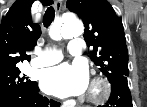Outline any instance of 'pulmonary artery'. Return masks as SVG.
Masks as SVG:
<instances>
[{
	"mask_svg": "<svg viewBox=\"0 0 147 107\" xmlns=\"http://www.w3.org/2000/svg\"><path fill=\"white\" fill-rule=\"evenodd\" d=\"M84 41L80 38H74L69 43V51L73 55H78L82 52ZM63 59L60 51L51 49L42 51L37 58L34 59L32 65L35 67H45L56 64Z\"/></svg>",
	"mask_w": 147,
	"mask_h": 107,
	"instance_id": "obj_1",
	"label": "pulmonary artery"
}]
</instances>
